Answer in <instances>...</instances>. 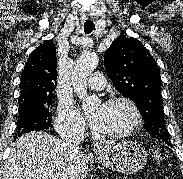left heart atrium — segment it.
<instances>
[{"mask_svg": "<svg viewBox=\"0 0 183 179\" xmlns=\"http://www.w3.org/2000/svg\"><path fill=\"white\" fill-rule=\"evenodd\" d=\"M89 121L91 126L96 129V130H100L102 127V123H103V114L101 110L96 111L94 114H92L89 117Z\"/></svg>", "mask_w": 183, "mask_h": 179, "instance_id": "39dd6f15", "label": "left heart atrium"}]
</instances>
